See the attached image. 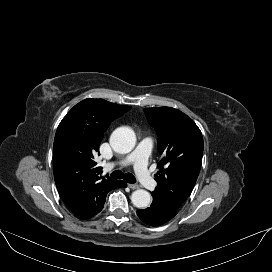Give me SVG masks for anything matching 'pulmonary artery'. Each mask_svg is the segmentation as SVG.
<instances>
[{
  "instance_id": "pulmonary-artery-1",
  "label": "pulmonary artery",
  "mask_w": 272,
  "mask_h": 272,
  "mask_svg": "<svg viewBox=\"0 0 272 272\" xmlns=\"http://www.w3.org/2000/svg\"><path fill=\"white\" fill-rule=\"evenodd\" d=\"M152 149V140L145 138L139 142L136 149L126 156L124 159L106 165L107 169H111L116 165L125 167L133 165L135 172L141 184L148 190H153L157 186L156 180L151 176L148 169V157Z\"/></svg>"
}]
</instances>
